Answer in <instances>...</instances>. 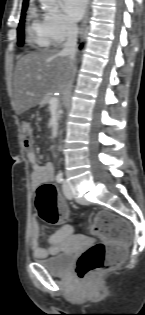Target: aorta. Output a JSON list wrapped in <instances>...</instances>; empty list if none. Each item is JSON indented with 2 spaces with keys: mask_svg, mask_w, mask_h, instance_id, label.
I'll return each mask as SVG.
<instances>
[{
  "mask_svg": "<svg viewBox=\"0 0 145 315\" xmlns=\"http://www.w3.org/2000/svg\"><path fill=\"white\" fill-rule=\"evenodd\" d=\"M39 1L42 5V9L47 10V11H52L56 2V0H39Z\"/></svg>",
  "mask_w": 145,
  "mask_h": 315,
  "instance_id": "aorta-1",
  "label": "aorta"
}]
</instances>
